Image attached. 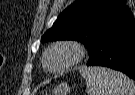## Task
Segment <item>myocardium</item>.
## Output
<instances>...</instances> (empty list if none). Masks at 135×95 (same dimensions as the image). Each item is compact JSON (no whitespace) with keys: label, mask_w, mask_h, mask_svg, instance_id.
<instances>
[{"label":"myocardium","mask_w":135,"mask_h":95,"mask_svg":"<svg viewBox=\"0 0 135 95\" xmlns=\"http://www.w3.org/2000/svg\"><path fill=\"white\" fill-rule=\"evenodd\" d=\"M59 48H66V49L71 50V52L73 53V57L66 65L57 69H49L46 65V60L51 52ZM85 53H86L85 48L81 43L75 40H61L54 43L47 49V51L45 52L43 56L42 64H43L44 69L51 73L62 72L78 64L80 61H82V59L85 56Z\"/></svg>","instance_id":"1"}]
</instances>
